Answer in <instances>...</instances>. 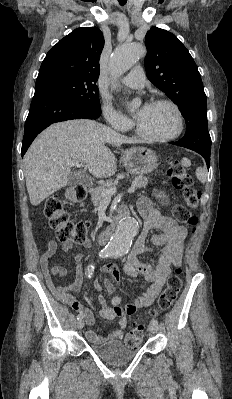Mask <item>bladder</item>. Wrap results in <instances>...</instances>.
Masks as SVG:
<instances>
[{"label": "bladder", "mask_w": 232, "mask_h": 399, "mask_svg": "<svg viewBox=\"0 0 232 399\" xmlns=\"http://www.w3.org/2000/svg\"><path fill=\"white\" fill-rule=\"evenodd\" d=\"M91 350L100 359L111 364H122L130 361L136 354L137 349L127 347L119 340H110L98 345H92Z\"/></svg>", "instance_id": "31cf9c89"}]
</instances>
